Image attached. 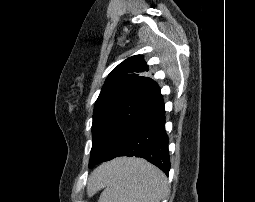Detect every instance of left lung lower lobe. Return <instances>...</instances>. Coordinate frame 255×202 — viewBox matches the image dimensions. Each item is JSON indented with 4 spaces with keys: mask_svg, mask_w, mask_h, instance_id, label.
<instances>
[{
    "mask_svg": "<svg viewBox=\"0 0 255 202\" xmlns=\"http://www.w3.org/2000/svg\"><path fill=\"white\" fill-rule=\"evenodd\" d=\"M118 156L144 158L159 167L166 175L169 174L170 160L168 137L165 133L164 103L140 124L116 157ZM108 160L111 159H105L98 163Z\"/></svg>",
    "mask_w": 255,
    "mask_h": 202,
    "instance_id": "left-lung-lower-lobe-1",
    "label": "left lung lower lobe"
}]
</instances>
